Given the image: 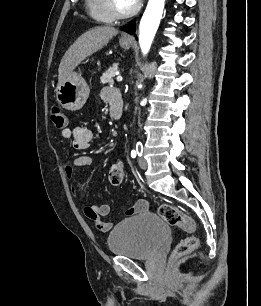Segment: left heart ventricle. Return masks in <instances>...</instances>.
<instances>
[{"label": "left heart ventricle", "mask_w": 261, "mask_h": 306, "mask_svg": "<svg viewBox=\"0 0 261 306\" xmlns=\"http://www.w3.org/2000/svg\"><path fill=\"white\" fill-rule=\"evenodd\" d=\"M115 2L117 8L121 11H127L135 5L132 0H115Z\"/></svg>", "instance_id": "1"}]
</instances>
